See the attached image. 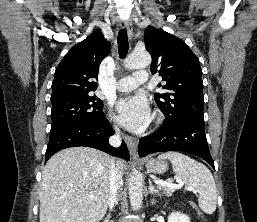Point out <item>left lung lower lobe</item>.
<instances>
[{
  "label": "left lung lower lobe",
  "mask_w": 257,
  "mask_h": 222,
  "mask_svg": "<svg viewBox=\"0 0 257 222\" xmlns=\"http://www.w3.org/2000/svg\"><path fill=\"white\" fill-rule=\"evenodd\" d=\"M166 151L194 154L206 160L214 168L206 140L204 118L187 117L173 122L165 120L157 131L139 140L140 157Z\"/></svg>",
  "instance_id": "1"
}]
</instances>
